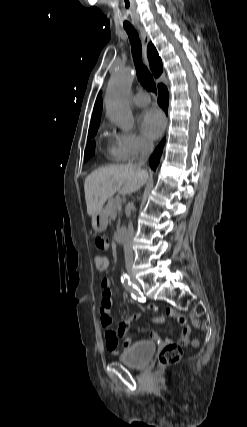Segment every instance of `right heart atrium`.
<instances>
[{
	"label": "right heart atrium",
	"mask_w": 247,
	"mask_h": 427,
	"mask_svg": "<svg viewBox=\"0 0 247 427\" xmlns=\"http://www.w3.org/2000/svg\"><path fill=\"white\" fill-rule=\"evenodd\" d=\"M111 142L113 156L120 161L135 159L151 147L148 140L133 132L116 133Z\"/></svg>",
	"instance_id": "1"
}]
</instances>
